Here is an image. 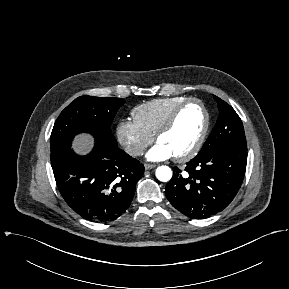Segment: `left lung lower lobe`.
I'll use <instances>...</instances> for the list:
<instances>
[{
	"instance_id": "left-lung-lower-lobe-1",
	"label": "left lung lower lobe",
	"mask_w": 289,
	"mask_h": 289,
	"mask_svg": "<svg viewBox=\"0 0 289 289\" xmlns=\"http://www.w3.org/2000/svg\"><path fill=\"white\" fill-rule=\"evenodd\" d=\"M247 146L222 145L196 156L182 173L173 168L165 195L174 208L192 219H205L225 209L239 191L245 175Z\"/></svg>"
}]
</instances>
